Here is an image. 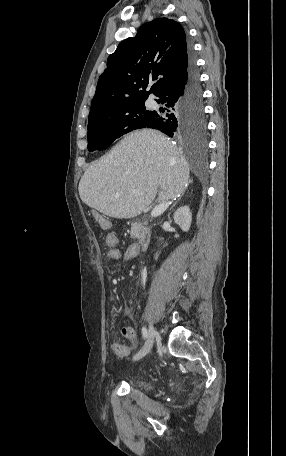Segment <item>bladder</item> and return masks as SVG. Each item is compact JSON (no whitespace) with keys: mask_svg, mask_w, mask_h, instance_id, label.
I'll list each match as a JSON object with an SVG mask.
<instances>
[{"mask_svg":"<svg viewBox=\"0 0 286 456\" xmlns=\"http://www.w3.org/2000/svg\"><path fill=\"white\" fill-rule=\"evenodd\" d=\"M137 382L140 383V384H144V385L148 386L147 390H149V388H150L149 385L147 383H145L143 380L138 379Z\"/></svg>","mask_w":286,"mask_h":456,"instance_id":"bladder-1","label":"bladder"}]
</instances>
